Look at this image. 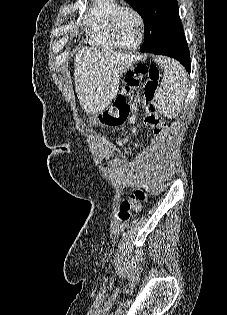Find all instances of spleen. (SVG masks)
I'll list each match as a JSON object with an SVG mask.
<instances>
[{"instance_id":"3e777b00","label":"spleen","mask_w":227,"mask_h":315,"mask_svg":"<svg viewBox=\"0 0 227 315\" xmlns=\"http://www.w3.org/2000/svg\"><path fill=\"white\" fill-rule=\"evenodd\" d=\"M156 62L164 69V77L155 103L163 115L175 117L181 108L187 93V78L178 63L164 57H157Z\"/></svg>"}]
</instances>
